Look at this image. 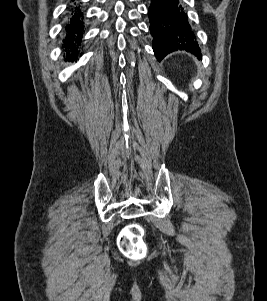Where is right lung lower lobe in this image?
I'll return each instance as SVG.
<instances>
[{
	"mask_svg": "<svg viewBox=\"0 0 267 301\" xmlns=\"http://www.w3.org/2000/svg\"><path fill=\"white\" fill-rule=\"evenodd\" d=\"M68 16L62 47L66 51L67 58L69 57L73 61L75 56L79 53L78 46L82 41V35L84 32V17L83 12L76 3L72 8H70Z\"/></svg>",
	"mask_w": 267,
	"mask_h": 301,
	"instance_id": "right-lung-lower-lobe-1",
	"label": "right lung lower lobe"
}]
</instances>
